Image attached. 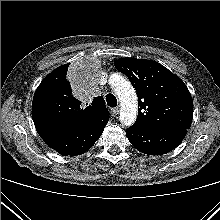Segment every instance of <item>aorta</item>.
Returning <instances> with one entry per match:
<instances>
[{
  "instance_id": "obj_1",
  "label": "aorta",
  "mask_w": 220,
  "mask_h": 220,
  "mask_svg": "<svg viewBox=\"0 0 220 220\" xmlns=\"http://www.w3.org/2000/svg\"><path fill=\"white\" fill-rule=\"evenodd\" d=\"M113 91L118 96L121 108L119 120L125 126H131L137 118L138 101L135 89L131 83L119 74L109 78Z\"/></svg>"
}]
</instances>
